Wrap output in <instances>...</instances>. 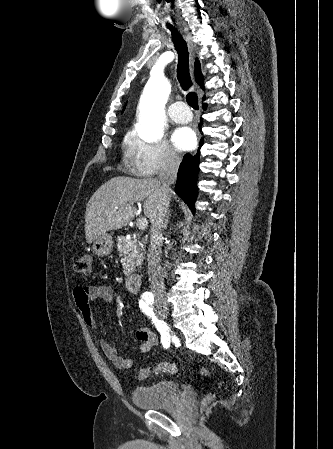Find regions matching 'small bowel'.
Listing matches in <instances>:
<instances>
[{"label":"small bowel","mask_w":333,"mask_h":449,"mask_svg":"<svg viewBox=\"0 0 333 449\" xmlns=\"http://www.w3.org/2000/svg\"><path fill=\"white\" fill-rule=\"evenodd\" d=\"M113 296V289L107 284L76 286L73 289L75 306L84 323L92 329H97V323L92 312L91 303L93 301L111 302L113 300ZM136 339L142 353L150 352L156 344L155 334L146 327H141L137 330ZM100 345L105 356L113 363L115 367L119 369H127L132 366V359L120 356L114 345L106 341H101Z\"/></svg>","instance_id":"c3829d8e"}]
</instances>
